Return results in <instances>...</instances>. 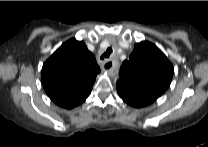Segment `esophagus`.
<instances>
[{
    "label": "esophagus",
    "instance_id": "esophagus-1",
    "mask_svg": "<svg viewBox=\"0 0 208 147\" xmlns=\"http://www.w3.org/2000/svg\"><path fill=\"white\" fill-rule=\"evenodd\" d=\"M103 70L107 72L110 75H115L116 74V67L111 60H106L102 66Z\"/></svg>",
    "mask_w": 208,
    "mask_h": 147
}]
</instances>
